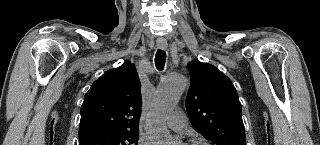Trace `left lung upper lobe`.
<instances>
[{
    "label": "left lung upper lobe",
    "mask_w": 320,
    "mask_h": 145,
    "mask_svg": "<svg viewBox=\"0 0 320 145\" xmlns=\"http://www.w3.org/2000/svg\"><path fill=\"white\" fill-rule=\"evenodd\" d=\"M186 110L192 126L216 145H246L241 103L232 81L208 63L188 64Z\"/></svg>",
    "instance_id": "1"
}]
</instances>
